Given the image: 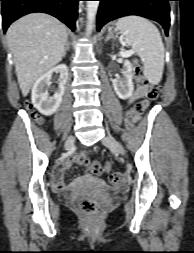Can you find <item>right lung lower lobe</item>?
I'll use <instances>...</instances> for the list:
<instances>
[{
	"mask_svg": "<svg viewBox=\"0 0 194 253\" xmlns=\"http://www.w3.org/2000/svg\"><path fill=\"white\" fill-rule=\"evenodd\" d=\"M2 5L3 31L21 16L32 12L50 14L72 31L75 30L77 4L80 0H0Z\"/></svg>",
	"mask_w": 194,
	"mask_h": 253,
	"instance_id": "1",
	"label": "right lung lower lobe"
}]
</instances>
